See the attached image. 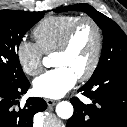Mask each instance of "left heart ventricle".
Here are the masks:
<instances>
[{
  "mask_svg": "<svg viewBox=\"0 0 127 127\" xmlns=\"http://www.w3.org/2000/svg\"><path fill=\"white\" fill-rule=\"evenodd\" d=\"M95 31L90 24L82 25L77 31L69 50L65 54H54L53 66L65 67L76 77L90 65L95 49Z\"/></svg>",
  "mask_w": 127,
  "mask_h": 127,
  "instance_id": "left-heart-ventricle-1",
  "label": "left heart ventricle"
}]
</instances>
